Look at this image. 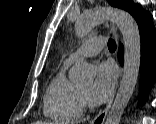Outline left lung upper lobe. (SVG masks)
<instances>
[{"instance_id": "left-lung-upper-lobe-1", "label": "left lung upper lobe", "mask_w": 156, "mask_h": 124, "mask_svg": "<svg viewBox=\"0 0 156 124\" xmlns=\"http://www.w3.org/2000/svg\"><path fill=\"white\" fill-rule=\"evenodd\" d=\"M114 6L128 11L131 15L137 10L139 5L134 4L132 0H108Z\"/></svg>"}]
</instances>
